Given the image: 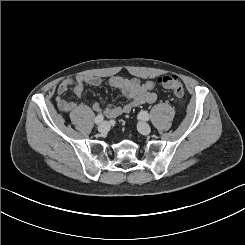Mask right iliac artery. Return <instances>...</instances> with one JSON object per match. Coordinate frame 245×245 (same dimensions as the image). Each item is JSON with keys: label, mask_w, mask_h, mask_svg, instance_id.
<instances>
[{"label": "right iliac artery", "mask_w": 245, "mask_h": 245, "mask_svg": "<svg viewBox=\"0 0 245 245\" xmlns=\"http://www.w3.org/2000/svg\"><path fill=\"white\" fill-rule=\"evenodd\" d=\"M104 120V116L102 114H99L96 116L94 122L95 124H100Z\"/></svg>", "instance_id": "1"}]
</instances>
